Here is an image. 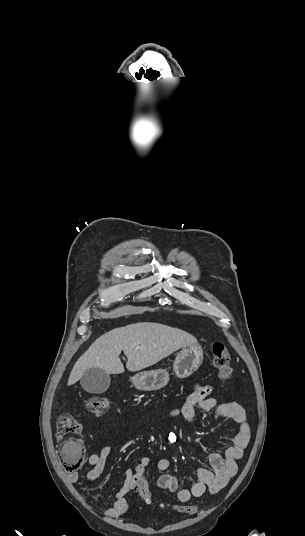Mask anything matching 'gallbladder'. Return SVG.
Wrapping results in <instances>:
<instances>
[{
	"mask_svg": "<svg viewBox=\"0 0 305 536\" xmlns=\"http://www.w3.org/2000/svg\"><path fill=\"white\" fill-rule=\"evenodd\" d=\"M111 378L109 374H106L105 370L101 368H89L85 370L80 384L89 394H103L110 386Z\"/></svg>",
	"mask_w": 305,
	"mask_h": 536,
	"instance_id": "gallbladder-1",
	"label": "gallbladder"
}]
</instances>
